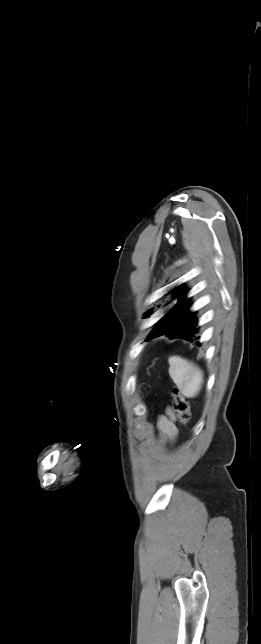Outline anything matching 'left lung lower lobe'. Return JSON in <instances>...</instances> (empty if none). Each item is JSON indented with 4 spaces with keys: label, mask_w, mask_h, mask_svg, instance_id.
<instances>
[{
    "label": "left lung lower lobe",
    "mask_w": 261,
    "mask_h": 644,
    "mask_svg": "<svg viewBox=\"0 0 261 644\" xmlns=\"http://www.w3.org/2000/svg\"><path fill=\"white\" fill-rule=\"evenodd\" d=\"M197 322L198 319L193 318L189 323L178 328L177 330L172 331L167 336L171 339L182 338L186 341H196L197 344H200L198 341L200 339V336H198L199 328L197 327Z\"/></svg>",
    "instance_id": "0a47b994"
}]
</instances>
